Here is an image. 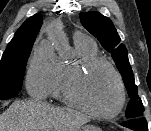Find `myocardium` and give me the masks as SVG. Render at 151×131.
I'll return each mask as SVG.
<instances>
[{"label":"myocardium","mask_w":151,"mask_h":131,"mask_svg":"<svg viewBox=\"0 0 151 131\" xmlns=\"http://www.w3.org/2000/svg\"><path fill=\"white\" fill-rule=\"evenodd\" d=\"M98 65H104L106 66L111 73L113 74L119 90V99L117 106L115 109L109 113H101L98 111H95L92 109L83 99L80 90H79V84L81 80L84 78V76L94 67ZM65 98L66 100L74 105L75 107L81 109L85 113L89 114L90 116L97 118V119H112L120 114L122 111L125 101H126V89L123 82V79L118 72V70L113 66L112 63H110L108 60L99 57L94 56L87 58L83 61H81L68 75L65 87Z\"/></svg>","instance_id":"obj_1"}]
</instances>
